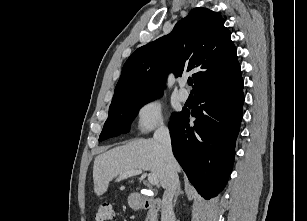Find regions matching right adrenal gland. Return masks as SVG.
I'll list each match as a JSON object with an SVG mask.
<instances>
[{
    "label": "right adrenal gland",
    "mask_w": 307,
    "mask_h": 221,
    "mask_svg": "<svg viewBox=\"0 0 307 221\" xmlns=\"http://www.w3.org/2000/svg\"><path fill=\"white\" fill-rule=\"evenodd\" d=\"M183 194V191L181 190V185L179 184L178 185V188H177V191L175 193V197H174V200H173V203L176 204V201H177V198L179 195Z\"/></svg>",
    "instance_id": "2a0ac1e0"
}]
</instances>
